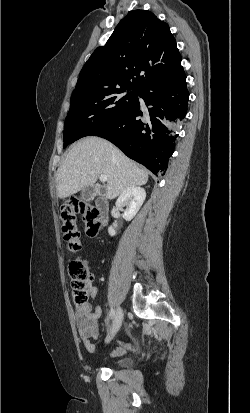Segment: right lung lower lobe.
<instances>
[{
    "label": "right lung lower lobe",
    "mask_w": 250,
    "mask_h": 413,
    "mask_svg": "<svg viewBox=\"0 0 250 413\" xmlns=\"http://www.w3.org/2000/svg\"><path fill=\"white\" fill-rule=\"evenodd\" d=\"M126 110L89 135L105 138L155 175L165 172L174 152L176 131L187 113L189 93L184 71L144 84ZM146 106V107H145Z\"/></svg>",
    "instance_id": "right-lung-lower-lobe-1"
}]
</instances>
